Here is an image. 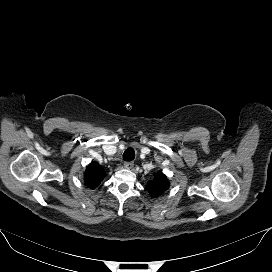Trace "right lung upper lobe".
I'll return each instance as SVG.
<instances>
[{
	"label": "right lung upper lobe",
	"mask_w": 272,
	"mask_h": 272,
	"mask_svg": "<svg viewBox=\"0 0 272 272\" xmlns=\"http://www.w3.org/2000/svg\"><path fill=\"white\" fill-rule=\"evenodd\" d=\"M104 176L103 169L97 163L92 162L85 171L84 180L88 187L94 189L101 183Z\"/></svg>",
	"instance_id": "1"
}]
</instances>
